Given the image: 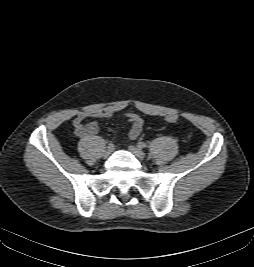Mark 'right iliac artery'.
Masks as SVG:
<instances>
[{"mask_svg":"<svg viewBox=\"0 0 254 267\" xmlns=\"http://www.w3.org/2000/svg\"><path fill=\"white\" fill-rule=\"evenodd\" d=\"M108 147H112L113 148L114 147V144L113 143H109L108 144Z\"/></svg>","mask_w":254,"mask_h":267,"instance_id":"82829eb1","label":"right iliac artery"}]
</instances>
